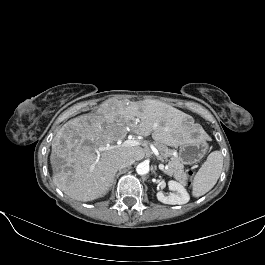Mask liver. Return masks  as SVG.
<instances>
[{"instance_id": "liver-1", "label": "liver", "mask_w": 265, "mask_h": 265, "mask_svg": "<svg viewBox=\"0 0 265 265\" xmlns=\"http://www.w3.org/2000/svg\"><path fill=\"white\" fill-rule=\"evenodd\" d=\"M189 118L159 101L107 100L96 113L71 119L56 133L50 156L53 169H58L53 182L77 201L95 200L111 187L119 161L145 157L139 146L105 150L100 156L96 149L124 139L129 130L141 136L151 134L158 143L178 147L191 141Z\"/></svg>"}]
</instances>
